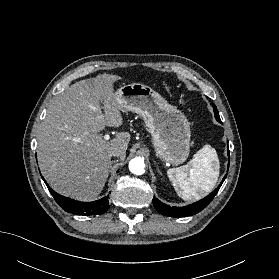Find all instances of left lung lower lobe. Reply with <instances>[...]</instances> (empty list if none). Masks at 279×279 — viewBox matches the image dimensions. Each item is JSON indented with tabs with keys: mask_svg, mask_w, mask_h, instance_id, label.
Masks as SVG:
<instances>
[{
	"mask_svg": "<svg viewBox=\"0 0 279 279\" xmlns=\"http://www.w3.org/2000/svg\"><path fill=\"white\" fill-rule=\"evenodd\" d=\"M228 155H229V149H228ZM226 176L227 175L224 176L220 185L210 195H208L207 197H205L204 199L198 202H195L185 207H170L169 205L160 202L156 197H154L153 198L154 207L159 213L168 217H185V216L195 215L200 211H202L212 201L214 196L217 194L219 188L221 187L222 183L224 182Z\"/></svg>",
	"mask_w": 279,
	"mask_h": 279,
	"instance_id": "1",
	"label": "left lung lower lobe"
}]
</instances>
